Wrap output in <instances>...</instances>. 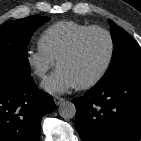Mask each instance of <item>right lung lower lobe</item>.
I'll list each match as a JSON object with an SVG mask.
<instances>
[{
  "label": "right lung lower lobe",
  "mask_w": 141,
  "mask_h": 141,
  "mask_svg": "<svg viewBox=\"0 0 141 141\" xmlns=\"http://www.w3.org/2000/svg\"><path fill=\"white\" fill-rule=\"evenodd\" d=\"M54 109L30 75L0 78V141H38L41 119Z\"/></svg>",
  "instance_id": "1"
}]
</instances>
